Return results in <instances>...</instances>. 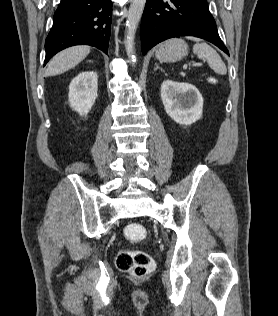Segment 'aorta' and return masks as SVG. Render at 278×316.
<instances>
[{"label": "aorta", "mask_w": 278, "mask_h": 316, "mask_svg": "<svg viewBox=\"0 0 278 316\" xmlns=\"http://www.w3.org/2000/svg\"><path fill=\"white\" fill-rule=\"evenodd\" d=\"M146 0H131L129 11L126 20V32H125V49L130 59V63L134 65L136 62L135 50H134V38L136 29L142 17Z\"/></svg>", "instance_id": "obj_1"}]
</instances>
